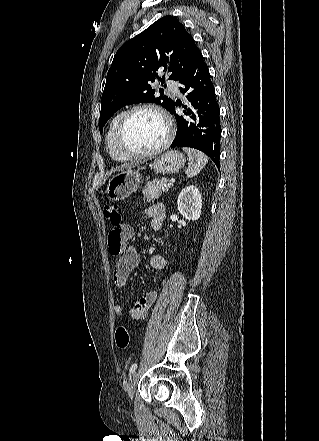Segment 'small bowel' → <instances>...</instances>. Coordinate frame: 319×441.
Here are the masks:
<instances>
[{"label":"small bowel","mask_w":319,"mask_h":441,"mask_svg":"<svg viewBox=\"0 0 319 441\" xmlns=\"http://www.w3.org/2000/svg\"><path fill=\"white\" fill-rule=\"evenodd\" d=\"M145 216L150 227L159 232L162 228V222L165 218V207L161 203L154 204L145 210ZM133 236L132 227L121 225L115 234L110 233L108 239L109 251L112 255L118 257L114 268V281L118 287H123L126 281L139 263V253L137 249L129 243ZM151 266L154 269L162 270L166 267V258L162 253H156L151 257ZM157 298L156 291H150L143 295L130 310V315L134 320H143L147 317L150 307ZM116 315L124 313L123 305L117 303L114 305Z\"/></svg>","instance_id":"small-bowel-1"}]
</instances>
